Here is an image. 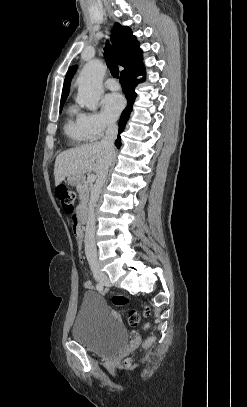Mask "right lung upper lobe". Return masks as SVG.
Here are the masks:
<instances>
[{
	"label": "right lung upper lobe",
	"instance_id": "1",
	"mask_svg": "<svg viewBox=\"0 0 247 407\" xmlns=\"http://www.w3.org/2000/svg\"><path fill=\"white\" fill-rule=\"evenodd\" d=\"M111 39L117 51V62L125 68L124 70L142 61V50L139 47V42L129 27L115 23ZM76 69L77 66H72L65 76L61 101H65L68 97L70 82Z\"/></svg>",
	"mask_w": 247,
	"mask_h": 407
}]
</instances>
